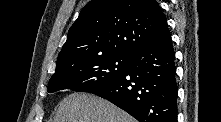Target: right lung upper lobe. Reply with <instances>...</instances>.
<instances>
[{
	"mask_svg": "<svg viewBox=\"0 0 221 122\" xmlns=\"http://www.w3.org/2000/svg\"><path fill=\"white\" fill-rule=\"evenodd\" d=\"M166 27L155 0H92L70 27L54 75L97 57H132Z\"/></svg>",
	"mask_w": 221,
	"mask_h": 122,
	"instance_id": "cb5924a9",
	"label": "right lung upper lobe"
}]
</instances>
